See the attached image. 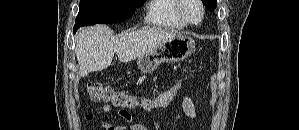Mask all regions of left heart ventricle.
I'll return each instance as SVG.
<instances>
[{
  "instance_id": "obj_1",
  "label": "left heart ventricle",
  "mask_w": 299,
  "mask_h": 130,
  "mask_svg": "<svg viewBox=\"0 0 299 130\" xmlns=\"http://www.w3.org/2000/svg\"><path fill=\"white\" fill-rule=\"evenodd\" d=\"M185 14L189 20L197 22L201 16L200 8L194 1L190 0L186 5Z\"/></svg>"
}]
</instances>
